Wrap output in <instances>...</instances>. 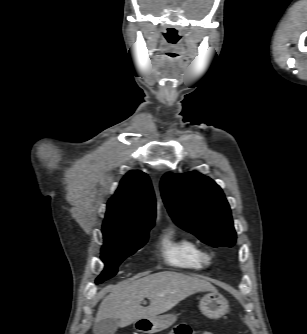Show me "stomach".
<instances>
[{
	"mask_svg": "<svg viewBox=\"0 0 307 334\" xmlns=\"http://www.w3.org/2000/svg\"><path fill=\"white\" fill-rule=\"evenodd\" d=\"M200 311L210 319H219L229 310L228 301L217 292H210L204 295L199 303ZM177 315L173 313L158 315L153 318L140 319L135 327L147 333H156L167 329L175 323Z\"/></svg>",
	"mask_w": 307,
	"mask_h": 334,
	"instance_id": "stomach-1",
	"label": "stomach"
}]
</instances>
